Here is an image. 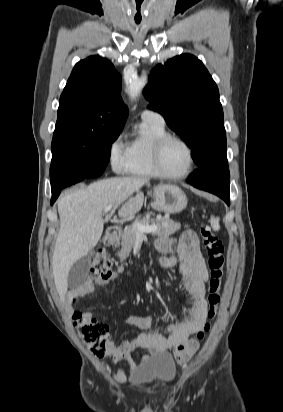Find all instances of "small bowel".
I'll list each match as a JSON object with an SVG mask.
<instances>
[{
	"label": "small bowel",
	"mask_w": 283,
	"mask_h": 412,
	"mask_svg": "<svg viewBox=\"0 0 283 412\" xmlns=\"http://www.w3.org/2000/svg\"><path fill=\"white\" fill-rule=\"evenodd\" d=\"M159 251L176 253L178 259L170 257L163 261V266H176L181 277L183 302L186 305L185 314L179 319L168 322L169 335L150 329L162 325L153 318L133 314L126 317L125 322L133 328L143 330L136 338L125 340L119 344L108 342L107 356L113 361H124L128 364L131 375L138 373L151 357L169 356L171 351L179 348L175 356L180 364H184L193 354V350L181 351L191 337L204 328L207 317V301L205 298L208 273L203 263L197 235L192 230L183 231L177 238H161L156 242ZM123 271L120 267L107 279L86 282L80 289L73 292L75 296H86L94 292L96 287L107 286ZM92 316L90 311L84 312ZM148 352L140 360L133 356L134 351ZM125 378L124 370L116 375L117 380Z\"/></svg>",
	"instance_id": "small-bowel-1"
}]
</instances>
